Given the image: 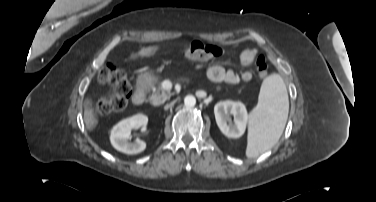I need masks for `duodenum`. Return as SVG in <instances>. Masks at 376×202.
Wrapping results in <instances>:
<instances>
[{
  "label": "duodenum",
  "instance_id": "obj_1",
  "mask_svg": "<svg viewBox=\"0 0 376 202\" xmlns=\"http://www.w3.org/2000/svg\"><path fill=\"white\" fill-rule=\"evenodd\" d=\"M146 84L143 80L137 83L136 89L132 95V103L134 105H141L145 100Z\"/></svg>",
  "mask_w": 376,
  "mask_h": 202
}]
</instances>
